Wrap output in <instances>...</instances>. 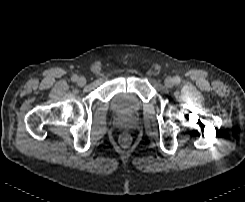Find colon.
Returning <instances> with one entry per match:
<instances>
[{
    "instance_id": "1",
    "label": "colon",
    "mask_w": 245,
    "mask_h": 202,
    "mask_svg": "<svg viewBox=\"0 0 245 202\" xmlns=\"http://www.w3.org/2000/svg\"><path fill=\"white\" fill-rule=\"evenodd\" d=\"M130 142H131V137H130V135H128V134H123L122 137H121V143H122L123 145H128V144H130Z\"/></svg>"
}]
</instances>
